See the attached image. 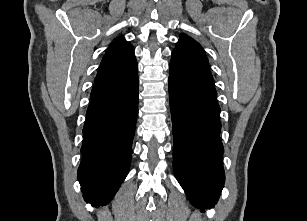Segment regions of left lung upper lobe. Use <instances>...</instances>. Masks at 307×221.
I'll use <instances>...</instances> for the list:
<instances>
[{"mask_svg": "<svg viewBox=\"0 0 307 221\" xmlns=\"http://www.w3.org/2000/svg\"><path fill=\"white\" fill-rule=\"evenodd\" d=\"M173 52L181 55L202 72L212 77L204 50L200 44L191 37L181 34Z\"/></svg>", "mask_w": 307, "mask_h": 221, "instance_id": "1", "label": "left lung upper lobe"}]
</instances>
